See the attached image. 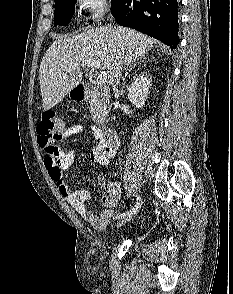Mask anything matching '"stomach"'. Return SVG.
Listing matches in <instances>:
<instances>
[{"instance_id": "1", "label": "stomach", "mask_w": 233, "mask_h": 294, "mask_svg": "<svg viewBox=\"0 0 233 294\" xmlns=\"http://www.w3.org/2000/svg\"><path fill=\"white\" fill-rule=\"evenodd\" d=\"M69 96L71 99H76V97H78L77 92L73 89L69 92Z\"/></svg>"}]
</instances>
